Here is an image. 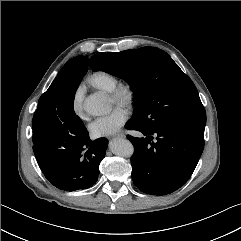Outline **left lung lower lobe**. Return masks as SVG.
Segmentation results:
<instances>
[{
    "instance_id": "1",
    "label": "left lung lower lobe",
    "mask_w": 241,
    "mask_h": 241,
    "mask_svg": "<svg viewBox=\"0 0 241 241\" xmlns=\"http://www.w3.org/2000/svg\"><path fill=\"white\" fill-rule=\"evenodd\" d=\"M126 128L146 136V139L128 136L135 150L131 157L132 179L139 190L166 195L188 181L203 152L204 127L169 122L149 131L131 119ZM153 134L157 135V141L150 143Z\"/></svg>"
}]
</instances>
